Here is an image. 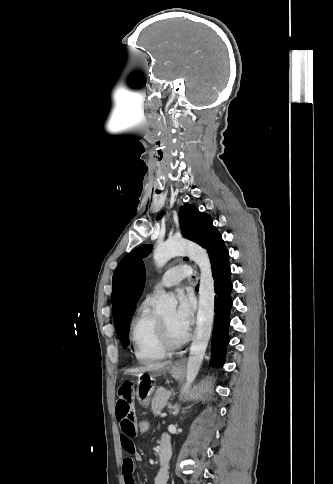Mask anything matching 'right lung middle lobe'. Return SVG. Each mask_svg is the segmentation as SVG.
<instances>
[{"instance_id": "dd1d6c3e", "label": "right lung middle lobe", "mask_w": 333, "mask_h": 484, "mask_svg": "<svg viewBox=\"0 0 333 484\" xmlns=\"http://www.w3.org/2000/svg\"><path fill=\"white\" fill-rule=\"evenodd\" d=\"M130 319L131 317L125 321V323L123 324L118 334V337L121 340V343L124 348H126L129 345V339H128L129 327L128 326H129Z\"/></svg>"}]
</instances>
